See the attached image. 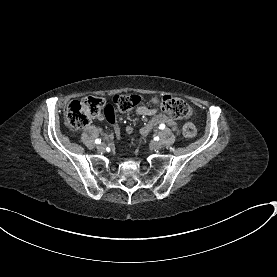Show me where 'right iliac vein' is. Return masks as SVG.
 Returning a JSON list of instances; mask_svg holds the SVG:
<instances>
[{
    "mask_svg": "<svg viewBox=\"0 0 277 277\" xmlns=\"http://www.w3.org/2000/svg\"><path fill=\"white\" fill-rule=\"evenodd\" d=\"M105 144L104 143H100V144H98L97 145V149L99 150V151H103L104 149H105Z\"/></svg>",
    "mask_w": 277,
    "mask_h": 277,
    "instance_id": "1",
    "label": "right iliac vein"
}]
</instances>
